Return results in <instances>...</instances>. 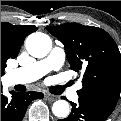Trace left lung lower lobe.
I'll return each mask as SVG.
<instances>
[{
    "instance_id": "left-lung-lower-lobe-1",
    "label": "left lung lower lobe",
    "mask_w": 121,
    "mask_h": 121,
    "mask_svg": "<svg viewBox=\"0 0 121 121\" xmlns=\"http://www.w3.org/2000/svg\"><path fill=\"white\" fill-rule=\"evenodd\" d=\"M72 111L65 119L58 121H105L109 117V113L102 111L87 102L79 99L78 104L70 102Z\"/></svg>"
}]
</instances>
